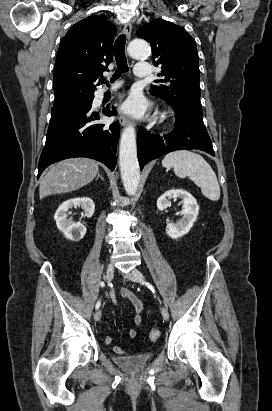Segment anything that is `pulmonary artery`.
<instances>
[{
    "label": "pulmonary artery",
    "instance_id": "e3ab8cb5",
    "mask_svg": "<svg viewBox=\"0 0 272 411\" xmlns=\"http://www.w3.org/2000/svg\"><path fill=\"white\" fill-rule=\"evenodd\" d=\"M150 74V67L148 63H138L135 68V75L141 78H147ZM117 86H113L111 89H116ZM105 92V89L101 90V94Z\"/></svg>",
    "mask_w": 272,
    "mask_h": 411
}]
</instances>
